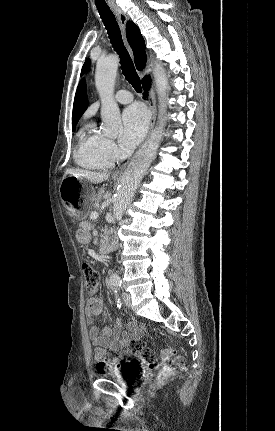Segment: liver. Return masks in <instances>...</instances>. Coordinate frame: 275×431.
<instances>
[{"mask_svg":"<svg viewBox=\"0 0 275 431\" xmlns=\"http://www.w3.org/2000/svg\"><path fill=\"white\" fill-rule=\"evenodd\" d=\"M68 175H72L77 178H85L93 184H99L107 180L110 176V173L91 172V171L81 170V169H67L64 173L63 179Z\"/></svg>","mask_w":275,"mask_h":431,"instance_id":"obj_1","label":"liver"}]
</instances>
